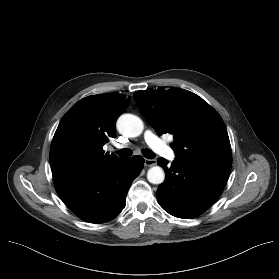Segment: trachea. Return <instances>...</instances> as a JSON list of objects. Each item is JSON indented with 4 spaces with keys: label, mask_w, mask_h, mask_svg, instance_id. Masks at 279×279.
<instances>
[{
    "label": "trachea",
    "mask_w": 279,
    "mask_h": 279,
    "mask_svg": "<svg viewBox=\"0 0 279 279\" xmlns=\"http://www.w3.org/2000/svg\"><path fill=\"white\" fill-rule=\"evenodd\" d=\"M142 154L147 159H153L155 154L150 149H143ZM119 157H130L132 155V150L122 149L118 152Z\"/></svg>",
    "instance_id": "obj_1"
}]
</instances>
